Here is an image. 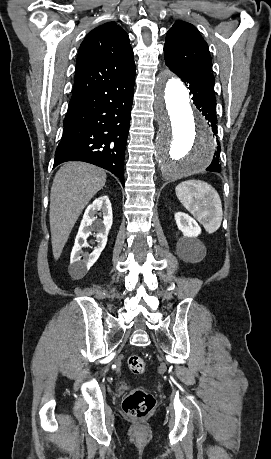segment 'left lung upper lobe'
<instances>
[{
  "mask_svg": "<svg viewBox=\"0 0 271 459\" xmlns=\"http://www.w3.org/2000/svg\"><path fill=\"white\" fill-rule=\"evenodd\" d=\"M165 63L176 73L212 74V60L208 45L195 26L176 21L166 34Z\"/></svg>",
  "mask_w": 271,
  "mask_h": 459,
  "instance_id": "left-lung-upper-lobe-1",
  "label": "left lung upper lobe"
}]
</instances>
